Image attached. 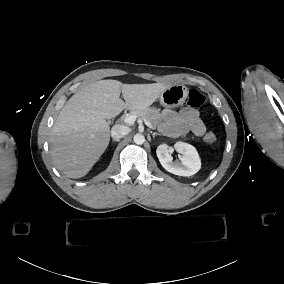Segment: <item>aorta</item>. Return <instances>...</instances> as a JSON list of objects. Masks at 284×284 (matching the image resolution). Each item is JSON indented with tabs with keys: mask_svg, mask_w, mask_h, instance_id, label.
<instances>
[{
	"mask_svg": "<svg viewBox=\"0 0 284 284\" xmlns=\"http://www.w3.org/2000/svg\"><path fill=\"white\" fill-rule=\"evenodd\" d=\"M133 140L136 144H143L144 141H145V137H144V135L137 133V134L134 135Z\"/></svg>",
	"mask_w": 284,
	"mask_h": 284,
	"instance_id": "762f6f07",
	"label": "aorta"
}]
</instances>
